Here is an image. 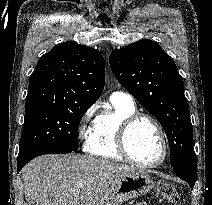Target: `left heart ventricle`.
Segmentation results:
<instances>
[{"mask_svg":"<svg viewBox=\"0 0 212 205\" xmlns=\"http://www.w3.org/2000/svg\"><path fill=\"white\" fill-rule=\"evenodd\" d=\"M128 149L138 161H157L162 154V144L156 128L148 120H139L129 131Z\"/></svg>","mask_w":212,"mask_h":205,"instance_id":"left-heart-ventricle-1","label":"left heart ventricle"}]
</instances>
